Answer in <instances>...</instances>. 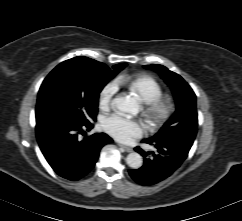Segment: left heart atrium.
<instances>
[{
	"label": "left heart atrium",
	"instance_id": "1",
	"mask_svg": "<svg viewBox=\"0 0 242 221\" xmlns=\"http://www.w3.org/2000/svg\"><path fill=\"white\" fill-rule=\"evenodd\" d=\"M103 129L122 142H129L143 134V124L137 120L127 118L121 114H112L102 121Z\"/></svg>",
	"mask_w": 242,
	"mask_h": 221
}]
</instances>
